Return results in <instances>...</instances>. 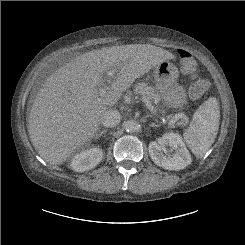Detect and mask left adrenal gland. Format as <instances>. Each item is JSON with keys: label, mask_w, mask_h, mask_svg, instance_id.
Returning a JSON list of instances; mask_svg holds the SVG:
<instances>
[{"label": "left adrenal gland", "mask_w": 245, "mask_h": 245, "mask_svg": "<svg viewBox=\"0 0 245 245\" xmlns=\"http://www.w3.org/2000/svg\"><path fill=\"white\" fill-rule=\"evenodd\" d=\"M150 127H157L158 125H156L155 123H152L149 125Z\"/></svg>", "instance_id": "obj_1"}]
</instances>
